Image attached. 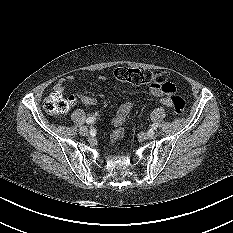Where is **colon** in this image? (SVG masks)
<instances>
[{"label":"colon","instance_id":"colon-1","mask_svg":"<svg viewBox=\"0 0 233 233\" xmlns=\"http://www.w3.org/2000/svg\"><path fill=\"white\" fill-rule=\"evenodd\" d=\"M117 80L134 86L149 85L158 87L169 94L174 111L182 115L185 112V101L175 95V86L168 82V77L163 72H151L148 70L120 67L114 71ZM74 102L72 97L65 98L62 94L52 92L43 103L44 110L50 115H61L65 113Z\"/></svg>","mask_w":233,"mask_h":233}]
</instances>
